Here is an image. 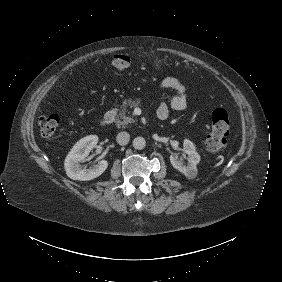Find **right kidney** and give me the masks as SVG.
I'll return each mask as SVG.
<instances>
[{
  "label": "right kidney",
  "mask_w": 282,
  "mask_h": 282,
  "mask_svg": "<svg viewBox=\"0 0 282 282\" xmlns=\"http://www.w3.org/2000/svg\"><path fill=\"white\" fill-rule=\"evenodd\" d=\"M98 142L97 136H87L73 147L65 159V171L72 180L90 181L99 177L108 167L106 160H100L89 168L82 169L80 162L85 159Z\"/></svg>",
  "instance_id": "ca27d5eb"
}]
</instances>
